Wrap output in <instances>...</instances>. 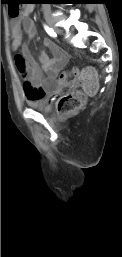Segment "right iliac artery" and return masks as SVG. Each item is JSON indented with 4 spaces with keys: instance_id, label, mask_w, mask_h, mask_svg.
Returning a JSON list of instances; mask_svg holds the SVG:
<instances>
[{
    "instance_id": "obj_1",
    "label": "right iliac artery",
    "mask_w": 122,
    "mask_h": 257,
    "mask_svg": "<svg viewBox=\"0 0 122 257\" xmlns=\"http://www.w3.org/2000/svg\"><path fill=\"white\" fill-rule=\"evenodd\" d=\"M45 31L47 32V34L51 37H56V33L54 32V30L52 28H50L47 25H44Z\"/></svg>"
}]
</instances>
